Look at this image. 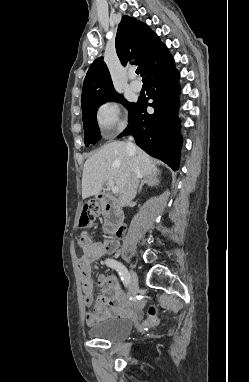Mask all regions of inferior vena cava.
Returning <instances> with one entry per match:
<instances>
[{"instance_id":"obj_1","label":"inferior vena cava","mask_w":249,"mask_h":382,"mask_svg":"<svg viewBox=\"0 0 249 382\" xmlns=\"http://www.w3.org/2000/svg\"><path fill=\"white\" fill-rule=\"evenodd\" d=\"M133 138L129 137L127 141V148L130 151L135 150V145L132 143ZM140 172L136 165L133 166L131 174L127 180L123 192L119 196L120 206L124 207L130 204V202L135 198L137 193V188L139 184Z\"/></svg>"}]
</instances>
